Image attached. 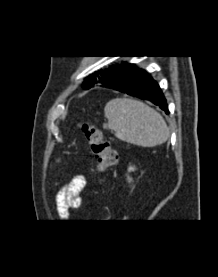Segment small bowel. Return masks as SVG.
Returning a JSON list of instances; mask_svg holds the SVG:
<instances>
[{"mask_svg": "<svg viewBox=\"0 0 218 277\" xmlns=\"http://www.w3.org/2000/svg\"><path fill=\"white\" fill-rule=\"evenodd\" d=\"M86 186L83 175L73 177L56 196L57 211L61 217H68L71 208H77L82 202L81 193Z\"/></svg>", "mask_w": 218, "mask_h": 277, "instance_id": "obj_1", "label": "small bowel"}]
</instances>
